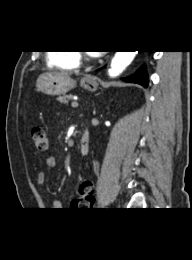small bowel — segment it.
I'll return each mask as SVG.
<instances>
[{"mask_svg": "<svg viewBox=\"0 0 192 260\" xmlns=\"http://www.w3.org/2000/svg\"><path fill=\"white\" fill-rule=\"evenodd\" d=\"M57 166V161L54 157H49L46 160V167L49 170L55 169ZM46 180V173L44 171H40L37 175V183L38 185L44 184ZM94 205V199L85 198L81 201H77L76 199L72 202V207L74 208H91ZM51 208L54 210H61L65 208V205L62 201L55 199L51 202Z\"/></svg>", "mask_w": 192, "mask_h": 260, "instance_id": "small-bowel-1", "label": "small bowel"}]
</instances>
